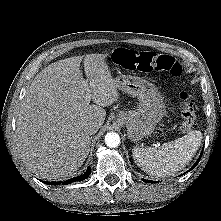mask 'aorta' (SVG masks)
<instances>
[{"mask_svg": "<svg viewBox=\"0 0 221 221\" xmlns=\"http://www.w3.org/2000/svg\"><path fill=\"white\" fill-rule=\"evenodd\" d=\"M105 144L109 148L117 147L120 144V137L115 132H109L105 135Z\"/></svg>", "mask_w": 221, "mask_h": 221, "instance_id": "762f6f07", "label": "aorta"}]
</instances>
